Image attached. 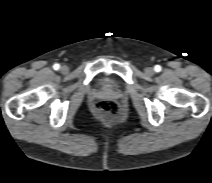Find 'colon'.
<instances>
[{
	"label": "colon",
	"instance_id": "obj_1",
	"mask_svg": "<svg viewBox=\"0 0 212 183\" xmlns=\"http://www.w3.org/2000/svg\"><path fill=\"white\" fill-rule=\"evenodd\" d=\"M94 110L100 118L107 121H115L120 116L119 105L113 100H101L96 102Z\"/></svg>",
	"mask_w": 212,
	"mask_h": 183
}]
</instances>
